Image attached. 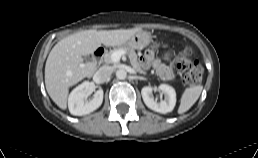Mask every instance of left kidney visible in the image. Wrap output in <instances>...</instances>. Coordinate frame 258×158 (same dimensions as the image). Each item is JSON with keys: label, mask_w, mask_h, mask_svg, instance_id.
Here are the masks:
<instances>
[{"label": "left kidney", "mask_w": 258, "mask_h": 158, "mask_svg": "<svg viewBox=\"0 0 258 158\" xmlns=\"http://www.w3.org/2000/svg\"><path fill=\"white\" fill-rule=\"evenodd\" d=\"M154 90L161 91L165 96L164 100L157 102L153 96ZM141 94L145 105L156 112L166 114L168 112H171L175 107L176 92L175 89L170 85L161 84L157 89L146 86L142 88Z\"/></svg>", "instance_id": "5707ae66"}]
</instances>
